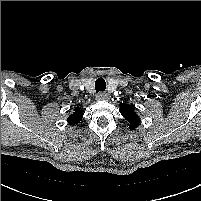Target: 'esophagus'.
Here are the masks:
<instances>
[{
	"instance_id": "obj_1",
	"label": "esophagus",
	"mask_w": 201,
	"mask_h": 201,
	"mask_svg": "<svg viewBox=\"0 0 201 201\" xmlns=\"http://www.w3.org/2000/svg\"><path fill=\"white\" fill-rule=\"evenodd\" d=\"M110 99V96L107 93L101 92L97 95L98 101H107Z\"/></svg>"
}]
</instances>
